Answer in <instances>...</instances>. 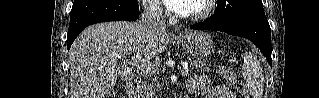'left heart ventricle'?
<instances>
[{
	"label": "left heart ventricle",
	"mask_w": 319,
	"mask_h": 98,
	"mask_svg": "<svg viewBox=\"0 0 319 98\" xmlns=\"http://www.w3.org/2000/svg\"><path fill=\"white\" fill-rule=\"evenodd\" d=\"M201 7V2L198 0V1H191L190 2V7L188 9V11L186 12L187 13H193V12H196L200 9Z\"/></svg>",
	"instance_id": "1"
}]
</instances>
